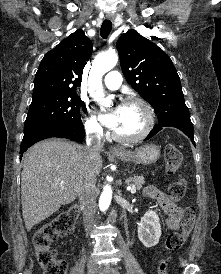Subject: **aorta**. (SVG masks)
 <instances>
[{
	"instance_id": "1",
	"label": "aorta",
	"mask_w": 221,
	"mask_h": 274,
	"mask_svg": "<svg viewBox=\"0 0 221 274\" xmlns=\"http://www.w3.org/2000/svg\"><path fill=\"white\" fill-rule=\"evenodd\" d=\"M117 62L118 55L116 53H108L98 56L93 63L88 80L89 93L94 100L99 101L102 104L106 102L102 90V77L106 72L110 71L117 64ZM111 199L112 188L110 185L106 184L103 187V191L99 199V208L101 211L108 209Z\"/></svg>"
}]
</instances>
